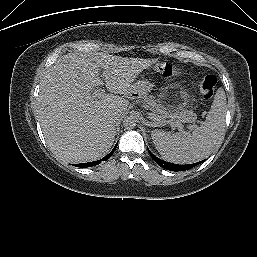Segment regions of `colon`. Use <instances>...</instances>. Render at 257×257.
Here are the masks:
<instances>
[{"label":"colon","instance_id":"5ec220e1","mask_svg":"<svg viewBox=\"0 0 257 257\" xmlns=\"http://www.w3.org/2000/svg\"><path fill=\"white\" fill-rule=\"evenodd\" d=\"M152 71L164 78H172L180 74V71L173 65L167 63H157L152 67ZM217 79L213 75L204 76L199 83V91L205 100L213 97Z\"/></svg>","mask_w":257,"mask_h":257}]
</instances>
